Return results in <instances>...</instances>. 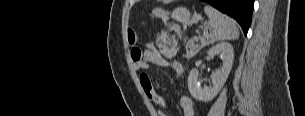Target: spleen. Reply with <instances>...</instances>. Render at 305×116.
I'll return each instance as SVG.
<instances>
[{"mask_svg": "<svg viewBox=\"0 0 305 116\" xmlns=\"http://www.w3.org/2000/svg\"><path fill=\"white\" fill-rule=\"evenodd\" d=\"M204 12L208 16L210 24V33L205 34V44L239 38L240 33L234 19L209 5L204 7Z\"/></svg>", "mask_w": 305, "mask_h": 116, "instance_id": "obj_1", "label": "spleen"}]
</instances>
